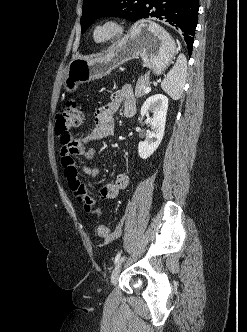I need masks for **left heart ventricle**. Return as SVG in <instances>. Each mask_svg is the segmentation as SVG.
<instances>
[{
	"label": "left heart ventricle",
	"instance_id": "1",
	"mask_svg": "<svg viewBox=\"0 0 247 332\" xmlns=\"http://www.w3.org/2000/svg\"><path fill=\"white\" fill-rule=\"evenodd\" d=\"M110 34V30L107 28L101 29L97 32V37L99 39L105 38Z\"/></svg>",
	"mask_w": 247,
	"mask_h": 332
}]
</instances>
